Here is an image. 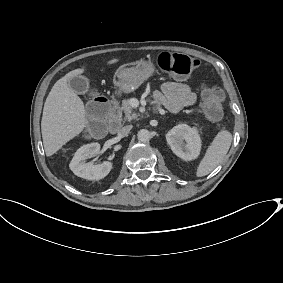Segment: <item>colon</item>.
<instances>
[{"label":"colon","instance_id":"colon-1","mask_svg":"<svg viewBox=\"0 0 283 283\" xmlns=\"http://www.w3.org/2000/svg\"><path fill=\"white\" fill-rule=\"evenodd\" d=\"M158 64L164 71L178 76L190 75L199 65L197 59L178 53L164 52L158 58ZM223 90L213 85L203 89L201 94L202 107L206 116L211 120H218L222 116ZM107 99L99 93L92 91L88 101L89 129L92 133L99 134L104 128V119L108 112Z\"/></svg>","mask_w":283,"mask_h":283}]
</instances>
